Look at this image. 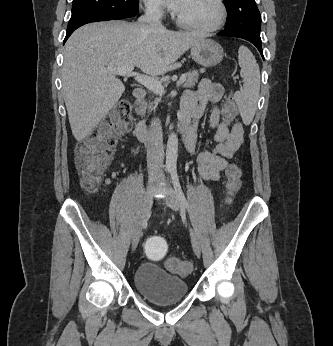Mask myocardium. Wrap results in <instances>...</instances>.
I'll use <instances>...</instances> for the list:
<instances>
[{"label": "myocardium", "mask_w": 333, "mask_h": 346, "mask_svg": "<svg viewBox=\"0 0 333 346\" xmlns=\"http://www.w3.org/2000/svg\"><path fill=\"white\" fill-rule=\"evenodd\" d=\"M214 1L219 9V16L217 21L214 24L210 26H199L184 20L179 15H176L177 23L185 29H189L192 31L200 32V33H212V32H216L220 30L224 26L227 20V14H228L227 7L225 5L224 0H214Z\"/></svg>", "instance_id": "myocardium-1"}]
</instances>
